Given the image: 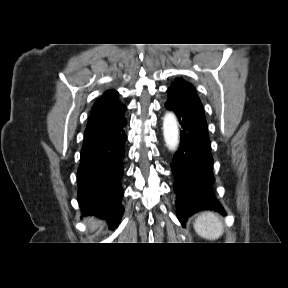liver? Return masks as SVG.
<instances>
[{
  "instance_id": "1",
  "label": "liver",
  "mask_w": 288,
  "mask_h": 288,
  "mask_svg": "<svg viewBox=\"0 0 288 288\" xmlns=\"http://www.w3.org/2000/svg\"><path fill=\"white\" fill-rule=\"evenodd\" d=\"M86 221L88 222L91 230H95L98 226H99V221L93 219V218H88L86 219Z\"/></svg>"
}]
</instances>
